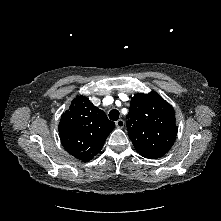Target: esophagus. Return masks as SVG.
<instances>
[{
    "label": "esophagus",
    "instance_id": "obj_1",
    "mask_svg": "<svg viewBox=\"0 0 221 221\" xmlns=\"http://www.w3.org/2000/svg\"><path fill=\"white\" fill-rule=\"evenodd\" d=\"M116 126L118 128H123L124 127V121L122 119H119L116 121Z\"/></svg>",
    "mask_w": 221,
    "mask_h": 221
}]
</instances>
